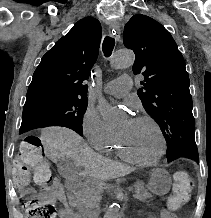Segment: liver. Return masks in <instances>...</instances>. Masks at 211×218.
Segmentation results:
<instances>
[{
    "label": "liver",
    "instance_id": "1",
    "mask_svg": "<svg viewBox=\"0 0 211 218\" xmlns=\"http://www.w3.org/2000/svg\"><path fill=\"white\" fill-rule=\"evenodd\" d=\"M42 142L47 144L50 156L54 158H72L76 166H82L83 174L99 178V180H113L126 176L127 166H122L119 162L107 160L99 154H95L87 148L78 134L68 130V128H46L41 136Z\"/></svg>",
    "mask_w": 211,
    "mask_h": 218
}]
</instances>
